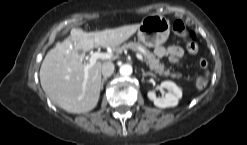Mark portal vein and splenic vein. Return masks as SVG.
<instances>
[{
    "label": "portal vein and splenic vein",
    "mask_w": 247,
    "mask_h": 145,
    "mask_svg": "<svg viewBox=\"0 0 247 145\" xmlns=\"http://www.w3.org/2000/svg\"><path fill=\"white\" fill-rule=\"evenodd\" d=\"M136 56L140 61L145 62V60L141 54L137 53ZM113 57H114V55L112 53H99V52L93 53L89 59V63L84 68L85 79H87V77H88L89 69L96 63V61L98 59L107 60V59H111Z\"/></svg>",
    "instance_id": "obj_1"
}]
</instances>
